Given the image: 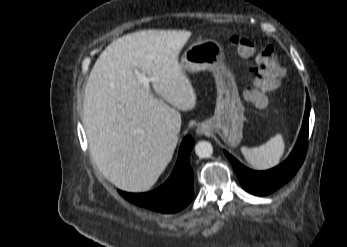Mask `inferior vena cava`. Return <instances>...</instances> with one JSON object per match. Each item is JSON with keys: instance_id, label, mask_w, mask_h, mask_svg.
Returning <instances> with one entry per match:
<instances>
[{"instance_id": "602c4592", "label": "inferior vena cava", "mask_w": 347, "mask_h": 247, "mask_svg": "<svg viewBox=\"0 0 347 247\" xmlns=\"http://www.w3.org/2000/svg\"><path fill=\"white\" fill-rule=\"evenodd\" d=\"M174 131H175V133H179V131H180V128H174Z\"/></svg>"}]
</instances>
